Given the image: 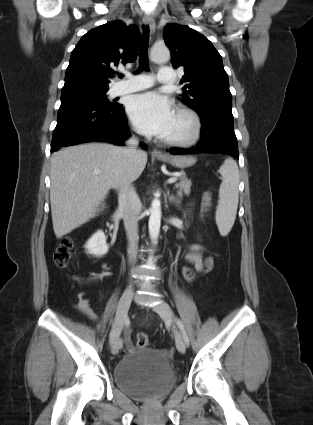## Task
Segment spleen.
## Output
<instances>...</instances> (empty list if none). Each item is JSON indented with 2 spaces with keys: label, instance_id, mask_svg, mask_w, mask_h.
Listing matches in <instances>:
<instances>
[{
  "label": "spleen",
  "instance_id": "spleen-1",
  "mask_svg": "<svg viewBox=\"0 0 313 425\" xmlns=\"http://www.w3.org/2000/svg\"><path fill=\"white\" fill-rule=\"evenodd\" d=\"M222 183L219 188V201L216 210V224L222 236H226L236 219L239 202V170L232 158L225 159L219 169Z\"/></svg>",
  "mask_w": 313,
  "mask_h": 425
}]
</instances>
